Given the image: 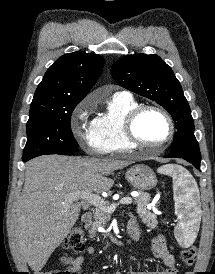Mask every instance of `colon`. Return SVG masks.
Masks as SVG:
<instances>
[{
	"label": "colon",
	"mask_w": 215,
	"mask_h": 274,
	"mask_svg": "<svg viewBox=\"0 0 215 274\" xmlns=\"http://www.w3.org/2000/svg\"><path fill=\"white\" fill-rule=\"evenodd\" d=\"M63 247L73 252L82 251L84 248L83 231L80 228H74L66 236ZM182 261L186 266H192L197 258V248L195 246L184 249L181 253ZM41 274H71L68 270L65 271H50L42 272Z\"/></svg>",
	"instance_id": "colon-1"
}]
</instances>
